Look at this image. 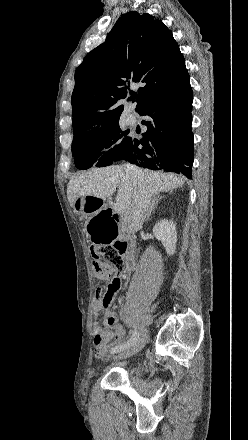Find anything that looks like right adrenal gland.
I'll list each match as a JSON object with an SVG mask.
<instances>
[{
	"instance_id": "2a0ac1e0",
	"label": "right adrenal gland",
	"mask_w": 248,
	"mask_h": 440,
	"mask_svg": "<svg viewBox=\"0 0 248 440\" xmlns=\"http://www.w3.org/2000/svg\"><path fill=\"white\" fill-rule=\"evenodd\" d=\"M163 196H160L159 194H155L152 197V201H151V205H150V209L147 213V217H146V221H148L150 219L151 214L154 212V210L157 208L158 206V202L160 201V199H162Z\"/></svg>"
}]
</instances>
